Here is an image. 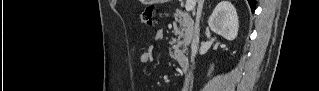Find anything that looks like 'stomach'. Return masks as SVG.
Here are the masks:
<instances>
[{"label": "stomach", "instance_id": "obj_1", "mask_svg": "<svg viewBox=\"0 0 319 91\" xmlns=\"http://www.w3.org/2000/svg\"><path fill=\"white\" fill-rule=\"evenodd\" d=\"M161 0H144V2L146 3V4H154V3H158V2H160Z\"/></svg>", "mask_w": 319, "mask_h": 91}]
</instances>
